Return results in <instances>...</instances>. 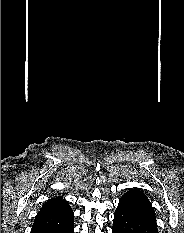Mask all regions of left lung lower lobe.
<instances>
[{
    "instance_id": "obj_1",
    "label": "left lung lower lobe",
    "mask_w": 184,
    "mask_h": 233,
    "mask_svg": "<svg viewBox=\"0 0 184 233\" xmlns=\"http://www.w3.org/2000/svg\"><path fill=\"white\" fill-rule=\"evenodd\" d=\"M113 233H158L153 207L145 194L126 192L114 213Z\"/></svg>"
}]
</instances>
